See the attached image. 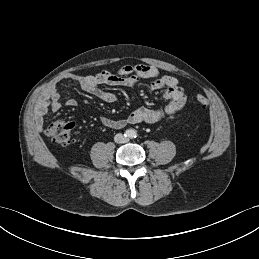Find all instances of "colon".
Masks as SVG:
<instances>
[{
	"mask_svg": "<svg viewBox=\"0 0 259 259\" xmlns=\"http://www.w3.org/2000/svg\"><path fill=\"white\" fill-rule=\"evenodd\" d=\"M197 103L202 108H207L208 106V101L204 96H198ZM74 128L75 123L73 122L57 121L47 126L46 134L58 143L67 145L72 141V132Z\"/></svg>",
	"mask_w": 259,
	"mask_h": 259,
	"instance_id": "colon-1",
	"label": "colon"
}]
</instances>
